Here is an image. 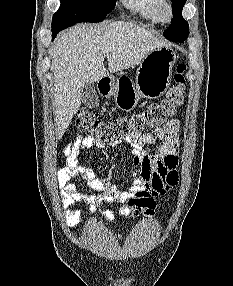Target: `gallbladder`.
Returning a JSON list of instances; mask_svg holds the SVG:
<instances>
[{
    "label": "gallbladder",
    "mask_w": 233,
    "mask_h": 286,
    "mask_svg": "<svg viewBox=\"0 0 233 286\" xmlns=\"http://www.w3.org/2000/svg\"><path fill=\"white\" fill-rule=\"evenodd\" d=\"M82 103L88 108L99 106L98 95L93 83H87L82 89Z\"/></svg>",
    "instance_id": "1"
}]
</instances>
